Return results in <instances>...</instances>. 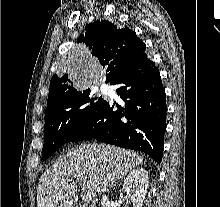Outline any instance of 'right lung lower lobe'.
<instances>
[{
  "mask_svg": "<svg viewBox=\"0 0 220 207\" xmlns=\"http://www.w3.org/2000/svg\"><path fill=\"white\" fill-rule=\"evenodd\" d=\"M120 84L117 94L125 107L105 100L100 109L70 137L69 142L97 139L135 149L160 164L166 131V94L160 72L143 52L110 82Z\"/></svg>",
  "mask_w": 220,
  "mask_h": 207,
  "instance_id": "right-lung-lower-lobe-1",
  "label": "right lung lower lobe"
}]
</instances>
